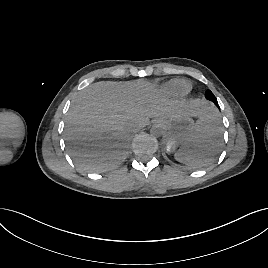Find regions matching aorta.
<instances>
[{
  "label": "aorta",
  "mask_w": 268,
  "mask_h": 268,
  "mask_svg": "<svg viewBox=\"0 0 268 268\" xmlns=\"http://www.w3.org/2000/svg\"><path fill=\"white\" fill-rule=\"evenodd\" d=\"M150 133L154 136H160L163 130L159 126H154L151 128Z\"/></svg>",
  "instance_id": "obj_1"
}]
</instances>
